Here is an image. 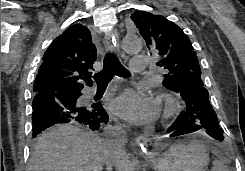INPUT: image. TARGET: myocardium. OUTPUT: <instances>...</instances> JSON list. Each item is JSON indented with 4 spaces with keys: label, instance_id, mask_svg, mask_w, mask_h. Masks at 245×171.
<instances>
[{
    "label": "myocardium",
    "instance_id": "f54148a6",
    "mask_svg": "<svg viewBox=\"0 0 245 171\" xmlns=\"http://www.w3.org/2000/svg\"><path fill=\"white\" fill-rule=\"evenodd\" d=\"M158 100L162 106V119L167 121L175 116L180 110L178 98L170 93L160 94Z\"/></svg>",
    "mask_w": 245,
    "mask_h": 171
}]
</instances>
